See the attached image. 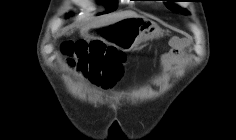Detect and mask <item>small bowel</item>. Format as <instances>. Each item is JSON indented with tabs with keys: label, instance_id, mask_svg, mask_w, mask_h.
Segmentation results:
<instances>
[{
	"label": "small bowel",
	"instance_id": "1",
	"mask_svg": "<svg viewBox=\"0 0 236 140\" xmlns=\"http://www.w3.org/2000/svg\"><path fill=\"white\" fill-rule=\"evenodd\" d=\"M172 45L173 48L167 54L161 57L159 71L162 74L170 71L175 66H178L184 60L182 41L175 39L172 41Z\"/></svg>",
	"mask_w": 236,
	"mask_h": 140
}]
</instances>
